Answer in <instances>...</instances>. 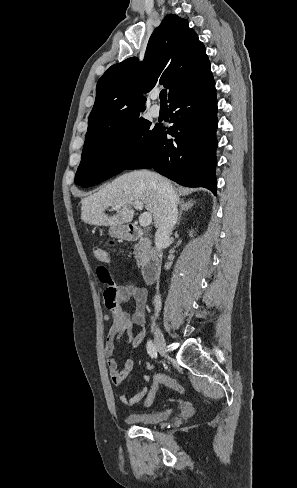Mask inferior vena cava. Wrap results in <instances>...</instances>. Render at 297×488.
Wrapping results in <instances>:
<instances>
[{
  "label": "inferior vena cava",
  "instance_id": "obj_1",
  "mask_svg": "<svg viewBox=\"0 0 297 488\" xmlns=\"http://www.w3.org/2000/svg\"><path fill=\"white\" fill-rule=\"evenodd\" d=\"M159 192L162 197V216L155 234V246L159 252V257H162V250L169 241L170 234L178 219L177 198L169 186L165 182H159ZM155 312L158 315L161 310V297L157 294L154 298Z\"/></svg>",
  "mask_w": 297,
  "mask_h": 488
}]
</instances>
